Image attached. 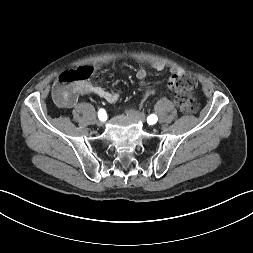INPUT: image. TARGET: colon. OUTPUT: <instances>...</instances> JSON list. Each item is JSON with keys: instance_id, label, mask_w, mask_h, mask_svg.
I'll return each mask as SVG.
<instances>
[{"instance_id": "colon-1", "label": "colon", "mask_w": 253, "mask_h": 253, "mask_svg": "<svg viewBox=\"0 0 253 253\" xmlns=\"http://www.w3.org/2000/svg\"><path fill=\"white\" fill-rule=\"evenodd\" d=\"M91 69L80 67L62 73L53 87V98L60 105H67L75 98V85L78 82L89 78ZM197 85L196 78L187 73L173 77L169 81V88L175 95V102L184 113H195L199 109V102L193 95V90ZM157 87L153 86L141 97L138 105L144 107L147 100L156 96Z\"/></svg>"}]
</instances>
